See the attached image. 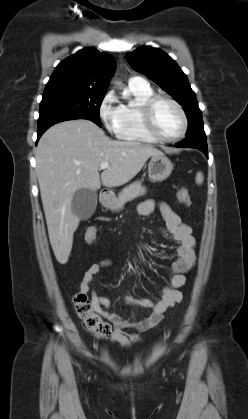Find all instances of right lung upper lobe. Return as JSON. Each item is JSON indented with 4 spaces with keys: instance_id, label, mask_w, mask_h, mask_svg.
I'll return each mask as SVG.
<instances>
[{
    "instance_id": "obj_1",
    "label": "right lung upper lobe",
    "mask_w": 248,
    "mask_h": 419,
    "mask_svg": "<svg viewBox=\"0 0 248 419\" xmlns=\"http://www.w3.org/2000/svg\"><path fill=\"white\" fill-rule=\"evenodd\" d=\"M115 66V59L111 55L87 47L61 61L46 88H80L106 92Z\"/></svg>"
}]
</instances>
